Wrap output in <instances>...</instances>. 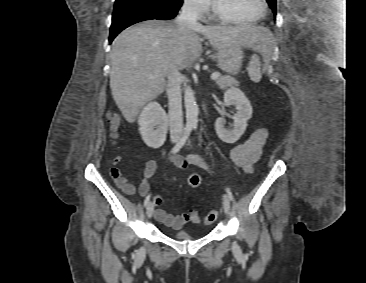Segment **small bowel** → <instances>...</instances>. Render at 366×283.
I'll return each instance as SVG.
<instances>
[{
    "label": "small bowel",
    "mask_w": 366,
    "mask_h": 283,
    "mask_svg": "<svg viewBox=\"0 0 366 283\" xmlns=\"http://www.w3.org/2000/svg\"><path fill=\"white\" fill-rule=\"evenodd\" d=\"M266 138L267 131L264 128L256 129L246 141L237 144L228 152L225 165L241 167L245 171L250 172L261 156ZM121 159L120 156L113 158L110 175L117 187L130 196L135 193L136 186L132 181L123 176L118 168L117 164L121 162ZM170 160L176 167L181 169L186 168L188 165L209 169L208 163L198 154H188L187 156L176 155L170 157ZM156 170L157 162L155 160H148L145 163L143 180L138 187V191L142 196L149 193L150 184L148 180L154 176ZM153 202L156 206H159L162 204L163 199L157 195L153 197ZM154 216L156 220L172 229H180L186 222L184 215H172L161 208L155 210Z\"/></svg>",
    "instance_id": "c3829d8e"
}]
</instances>
